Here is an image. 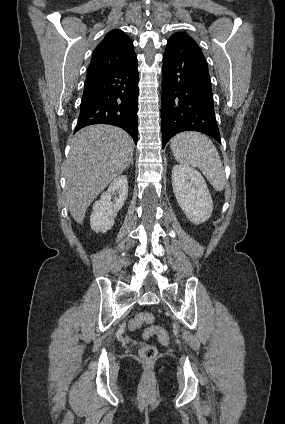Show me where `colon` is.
Returning a JSON list of instances; mask_svg holds the SVG:
<instances>
[{
	"mask_svg": "<svg viewBox=\"0 0 285 424\" xmlns=\"http://www.w3.org/2000/svg\"><path fill=\"white\" fill-rule=\"evenodd\" d=\"M154 319L153 315L149 312H141L137 314L132 321L130 322L129 328L130 330H135L140 328L145 323H150ZM153 335H158L159 339L163 343H167L169 341V334L160 328L150 327L144 331V338H149ZM140 355L144 360H153L157 356V349L155 346L146 344L141 347Z\"/></svg>",
	"mask_w": 285,
	"mask_h": 424,
	"instance_id": "1",
	"label": "colon"
}]
</instances>
